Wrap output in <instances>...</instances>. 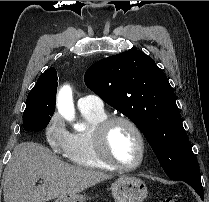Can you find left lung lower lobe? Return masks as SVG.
Instances as JSON below:
<instances>
[{
	"mask_svg": "<svg viewBox=\"0 0 209 202\" xmlns=\"http://www.w3.org/2000/svg\"><path fill=\"white\" fill-rule=\"evenodd\" d=\"M181 181H184L187 184H189L198 193L201 199L204 200V192H203V187L201 184L200 175L182 179Z\"/></svg>",
	"mask_w": 209,
	"mask_h": 202,
	"instance_id": "obj_1",
	"label": "left lung lower lobe"
}]
</instances>
